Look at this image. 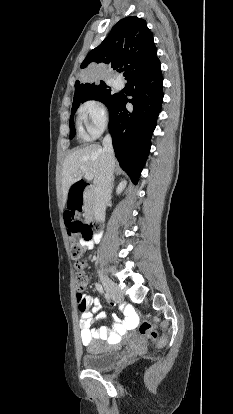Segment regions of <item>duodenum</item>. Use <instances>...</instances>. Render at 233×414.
I'll return each mask as SVG.
<instances>
[{
  "instance_id": "410a0bca",
  "label": "duodenum",
  "mask_w": 233,
  "mask_h": 414,
  "mask_svg": "<svg viewBox=\"0 0 233 414\" xmlns=\"http://www.w3.org/2000/svg\"><path fill=\"white\" fill-rule=\"evenodd\" d=\"M72 188L71 186L69 187ZM92 187L85 183L84 181H78L75 183L73 189L71 191V203L68 204L67 209L69 212H80L82 210V204H85V215L84 220L85 221H92L93 215H92Z\"/></svg>"
}]
</instances>
